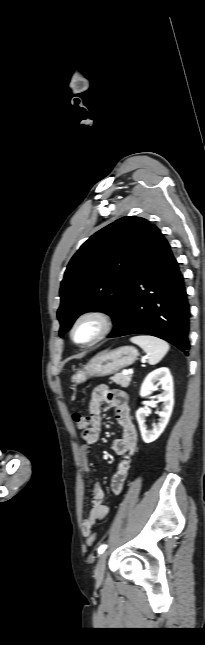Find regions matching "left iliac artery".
<instances>
[{
  "label": "left iliac artery",
  "instance_id": "obj_1",
  "mask_svg": "<svg viewBox=\"0 0 205 645\" xmlns=\"http://www.w3.org/2000/svg\"><path fill=\"white\" fill-rule=\"evenodd\" d=\"M106 548H107V545H106V544L101 545V546L98 548V553H99V554H102V553L106 550Z\"/></svg>",
  "mask_w": 205,
  "mask_h": 645
}]
</instances>
